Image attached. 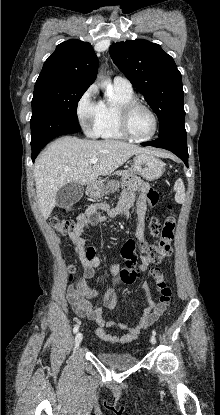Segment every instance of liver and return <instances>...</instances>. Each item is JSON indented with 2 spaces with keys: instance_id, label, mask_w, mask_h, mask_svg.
<instances>
[{
  "instance_id": "1",
  "label": "liver",
  "mask_w": 220,
  "mask_h": 415,
  "mask_svg": "<svg viewBox=\"0 0 220 415\" xmlns=\"http://www.w3.org/2000/svg\"><path fill=\"white\" fill-rule=\"evenodd\" d=\"M149 149L118 140L57 139L40 154L34 166L39 208L47 219L56 205V195L68 183L90 185L99 176L111 174L130 157ZM165 155L164 153H157ZM97 158L98 162H90Z\"/></svg>"
}]
</instances>
